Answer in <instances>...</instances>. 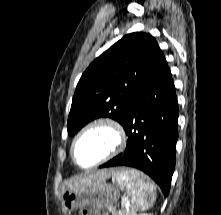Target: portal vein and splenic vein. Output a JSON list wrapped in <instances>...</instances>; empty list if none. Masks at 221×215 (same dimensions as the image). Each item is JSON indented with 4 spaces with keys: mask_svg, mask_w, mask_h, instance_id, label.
I'll return each mask as SVG.
<instances>
[{
    "mask_svg": "<svg viewBox=\"0 0 221 215\" xmlns=\"http://www.w3.org/2000/svg\"><path fill=\"white\" fill-rule=\"evenodd\" d=\"M121 204H122V206H124V205L126 204V202H125V201H122V203H121Z\"/></svg>",
    "mask_w": 221,
    "mask_h": 215,
    "instance_id": "1",
    "label": "portal vein and splenic vein"
}]
</instances>
